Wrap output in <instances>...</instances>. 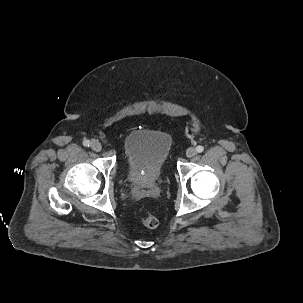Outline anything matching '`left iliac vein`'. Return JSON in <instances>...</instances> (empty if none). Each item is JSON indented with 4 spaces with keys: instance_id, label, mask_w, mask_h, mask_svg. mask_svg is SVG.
<instances>
[{
    "instance_id": "1",
    "label": "left iliac vein",
    "mask_w": 303,
    "mask_h": 303,
    "mask_svg": "<svg viewBox=\"0 0 303 303\" xmlns=\"http://www.w3.org/2000/svg\"><path fill=\"white\" fill-rule=\"evenodd\" d=\"M196 154H197V151L193 147L188 148L186 151V156L189 158L194 157Z\"/></svg>"
}]
</instances>
